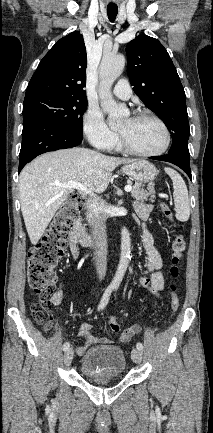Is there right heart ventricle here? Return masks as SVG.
<instances>
[{
    "label": "right heart ventricle",
    "instance_id": "right-heart-ventricle-1",
    "mask_svg": "<svg viewBox=\"0 0 213 433\" xmlns=\"http://www.w3.org/2000/svg\"><path fill=\"white\" fill-rule=\"evenodd\" d=\"M113 147H116L117 149H119V145H117L116 143L113 145Z\"/></svg>",
    "mask_w": 213,
    "mask_h": 433
}]
</instances>
